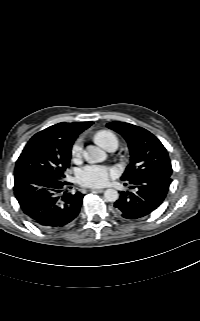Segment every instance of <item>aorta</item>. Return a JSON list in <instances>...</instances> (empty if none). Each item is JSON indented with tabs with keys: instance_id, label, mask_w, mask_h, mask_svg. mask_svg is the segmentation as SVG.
<instances>
[{
	"instance_id": "obj_1",
	"label": "aorta",
	"mask_w": 200,
	"mask_h": 321,
	"mask_svg": "<svg viewBox=\"0 0 200 321\" xmlns=\"http://www.w3.org/2000/svg\"><path fill=\"white\" fill-rule=\"evenodd\" d=\"M107 154L105 151L96 146H88L86 151V160L90 163H97L106 160ZM104 197L108 202H115L119 198V194L115 189H107L104 192Z\"/></svg>"
}]
</instances>
